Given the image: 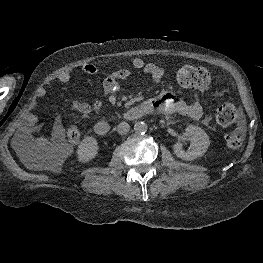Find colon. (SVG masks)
<instances>
[{
  "label": "colon",
  "instance_id": "obj_1",
  "mask_svg": "<svg viewBox=\"0 0 263 263\" xmlns=\"http://www.w3.org/2000/svg\"><path fill=\"white\" fill-rule=\"evenodd\" d=\"M178 83L187 88L205 90L210 86L211 76L203 67L185 65L177 72ZM237 117V108L231 102H224L216 110V121L221 126L231 125ZM67 141L71 145L78 144L80 140L79 130L72 126L66 130ZM225 144L230 150H238L243 144V135L239 131H231L224 137ZM49 158L54 166L60 164L63 154L58 149L49 151Z\"/></svg>",
  "mask_w": 263,
  "mask_h": 263
}]
</instances>
